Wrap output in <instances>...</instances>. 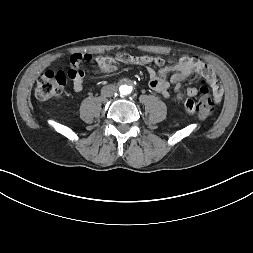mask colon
Returning <instances> with one entry per match:
<instances>
[{"instance_id": "1", "label": "colon", "mask_w": 253, "mask_h": 253, "mask_svg": "<svg viewBox=\"0 0 253 253\" xmlns=\"http://www.w3.org/2000/svg\"><path fill=\"white\" fill-rule=\"evenodd\" d=\"M84 62L72 63L65 69L60 71L49 70L43 73L36 82L35 97L40 101H46L60 95L68 80L73 79V85L82 90L84 85L80 83L79 74H83ZM197 101L196 113L201 118H207L212 113L213 99L209 94L206 82L203 80L200 87V96Z\"/></svg>"}]
</instances>
